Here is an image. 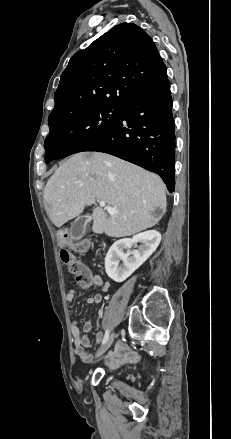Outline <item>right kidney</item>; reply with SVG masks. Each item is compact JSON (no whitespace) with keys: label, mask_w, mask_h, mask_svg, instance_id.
Returning a JSON list of instances; mask_svg holds the SVG:
<instances>
[{"label":"right kidney","mask_w":231,"mask_h":439,"mask_svg":"<svg viewBox=\"0 0 231 439\" xmlns=\"http://www.w3.org/2000/svg\"><path fill=\"white\" fill-rule=\"evenodd\" d=\"M161 241V234L156 230H149L132 238L117 240L108 250L105 258V271L115 282H123L137 270L157 249ZM138 249L131 250L132 247ZM124 250H127L125 253ZM123 264L120 266L119 262Z\"/></svg>","instance_id":"obj_1"}]
</instances>
